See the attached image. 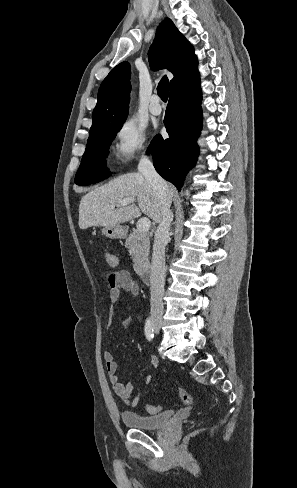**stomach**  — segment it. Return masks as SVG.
I'll list each match as a JSON object with an SVG mask.
<instances>
[{
  "label": "stomach",
  "instance_id": "1",
  "mask_svg": "<svg viewBox=\"0 0 297 488\" xmlns=\"http://www.w3.org/2000/svg\"><path fill=\"white\" fill-rule=\"evenodd\" d=\"M126 229L123 226L116 225V226H105L102 229V233L109 237V238H125L126 237Z\"/></svg>",
  "mask_w": 297,
  "mask_h": 488
}]
</instances>
